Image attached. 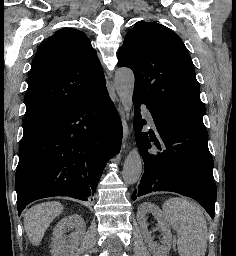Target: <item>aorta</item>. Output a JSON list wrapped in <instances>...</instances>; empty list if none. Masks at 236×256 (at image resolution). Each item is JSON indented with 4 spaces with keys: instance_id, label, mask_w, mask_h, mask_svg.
Instances as JSON below:
<instances>
[{
    "instance_id": "1",
    "label": "aorta",
    "mask_w": 236,
    "mask_h": 256,
    "mask_svg": "<svg viewBox=\"0 0 236 256\" xmlns=\"http://www.w3.org/2000/svg\"><path fill=\"white\" fill-rule=\"evenodd\" d=\"M135 78L129 68H120L115 73V87L125 111L132 106ZM142 174V158L136 146L125 159L122 176L126 184H135Z\"/></svg>"
}]
</instances>
